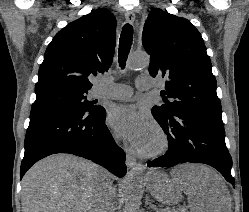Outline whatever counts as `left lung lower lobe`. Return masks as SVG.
<instances>
[{"mask_svg": "<svg viewBox=\"0 0 249 212\" xmlns=\"http://www.w3.org/2000/svg\"><path fill=\"white\" fill-rule=\"evenodd\" d=\"M152 114L167 134L169 151L147 164L172 167L179 163H203L217 169L231 184L232 159L225 144V131L219 112L187 110L165 118Z\"/></svg>", "mask_w": 249, "mask_h": 212, "instance_id": "obj_1", "label": "left lung lower lobe"}]
</instances>
